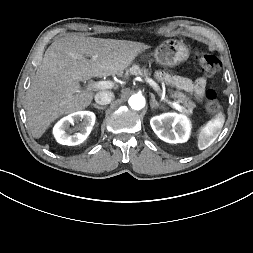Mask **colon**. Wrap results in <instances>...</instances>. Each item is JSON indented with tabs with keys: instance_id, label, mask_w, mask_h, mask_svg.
<instances>
[{
	"instance_id": "obj_1",
	"label": "colon",
	"mask_w": 253,
	"mask_h": 253,
	"mask_svg": "<svg viewBox=\"0 0 253 253\" xmlns=\"http://www.w3.org/2000/svg\"><path fill=\"white\" fill-rule=\"evenodd\" d=\"M196 56L200 67L205 74L214 75L220 70L221 63L214 55L198 52ZM205 108L207 112L211 114L218 113L221 110L217 94L213 90H208L205 93Z\"/></svg>"
}]
</instances>
